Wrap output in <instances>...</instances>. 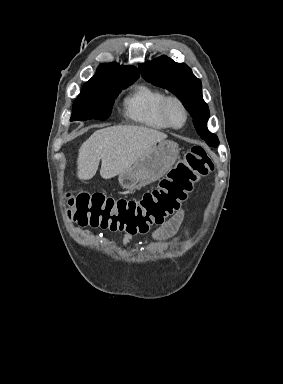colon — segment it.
Here are the masks:
<instances>
[{
    "mask_svg": "<svg viewBox=\"0 0 283 384\" xmlns=\"http://www.w3.org/2000/svg\"><path fill=\"white\" fill-rule=\"evenodd\" d=\"M214 170L202 146L191 147L158 187L139 199H116L101 193L68 195V215L80 226L100 227L128 234L146 233L177 212L195 183Z\"/></svg>",
    "mask_w": 283,
    "mask_h": 384,
    "instance_id": "1",
    "label": "colon"
}]
</instances>
